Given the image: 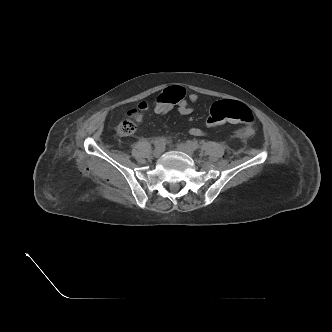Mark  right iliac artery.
<instances>
[{"mask_svg":"<svg viewBox=\"0 0 332 332\" xmlns=\"http://www.w3.org/2000/svg\"><path fill=\"white\" fill-rule=\"evenodd\" d=\"M165 143H166V139L164 137H160V138L156 139V141L154 142V145L156 147H160V146L162 147L165 145Z\"/></svg>","mask_w":332,"mask_h":332,"instance_id":"82829eb1","label":"right iliac artery"}]
</instances>
